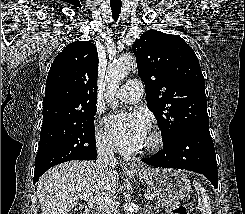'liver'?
I'll list each match as a JSON object with an SVG mask.
<instances>
[{"label": "liver", "mask_w": 245, "mask_h": 214, "mask_svg": "<svg viewBox=\"0 0 245 214\" xmlns=\"http://www.w3.org/2000/svg\"><path fill=\"white\" fill-rule=\"evenodd\" d=\"M114 169L97 168L96 163L71 161L48 170L37 183L42 214H68L83 195L110 197L118 188Z\"/></svg>", "instance_id": "obj_1"}]
</instances>
